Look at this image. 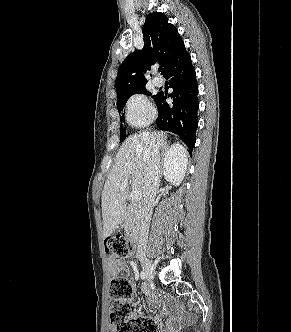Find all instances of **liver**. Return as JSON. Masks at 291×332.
I'll return each instance as SVG.
<instances>
[{
  "mask_svg": "<svg viewBox=\"0 0 291 332\" xmlns=\"http://www.w3.org/2000/svg\"><path fill=\"white\" fill-rule=\"evenodd\" d=\"M147 133L129 136L116 155L101 196L104 238L110 236L125 218L128 186L121 190V183L127 181L132 191L142 193L147 168V150L150 148L151 140H154L159 151L164 147L167 138L164 133H149L150 138ZM181 148L187 158V150L182 146ZM161 166L164 172V163Z\"/></svg>",
  "mask_w": 291,
  "mask_h": 332,
  "instance_id": "6515ba94",
  "label": "liver"
}]
</instances>
